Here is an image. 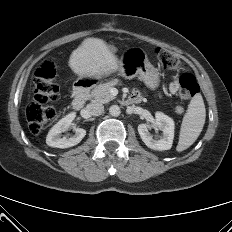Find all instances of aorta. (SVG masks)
Segmentation results:
<instances>
[{
    "label": "aorta",
    "instance_id": "aorta-1",
    "mask_svg": "<svg viewBox=\"0 0 232 232\" xmlns=\"http://www.w3.org/2000/svg\"><path fill=\"white\" fill-rule=\"evenodd\" d=\"M109 113H110L111 116H114V117L119 116L120 113H121L120 107L118 105L110 106Z\"/></svg>",
    "mask_w": 232,
    "mask_h": 232
}]
</instances>
